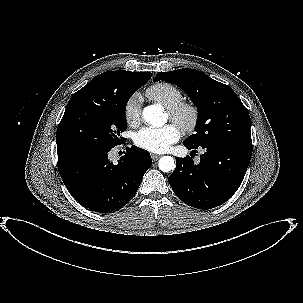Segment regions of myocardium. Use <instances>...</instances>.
I'll list each match as a JSON object with an SVG mask.
<instances>
[{
  "mask_svg": "<svg viewBox=\"0 0 303 303\" xmlns=\"http://www.w3.org/2000/svg\"><path fill=\"white\" fill-rule=\"evenodd\" d=\"M167 114L170 120L179 125L185 132L194 131L199 121L198 108L194 104L184 101L168 108Z\"/></svg>",
  "mask_w": 303,
  "mask_h": 303,
  "instance_id": "1",
  "label": "myocardium"
}]
</instances>
